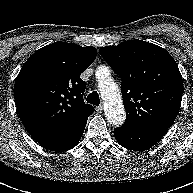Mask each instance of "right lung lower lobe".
<instances>
[{
  "label": "right lung lower lobe",
  "mask_w": 193,
  "mask_h": 193,
  "mask_svg": "<svg viewBox=\"0 0 193 193\" xmlns=\"http://www.w3.org/2000/svg\"><path fill=\"white\" fill-rule=\"evenodd\" d=\"M86 123L87 122L75 127L74 129L64 134L37 140V142L41 146L52 151L63 152L70 150L73 147H75L78 144L79 140L81 139L83 132L85 130Z\"/></svg>",
  "instance_id": "obj_1"
}]
</instances>
